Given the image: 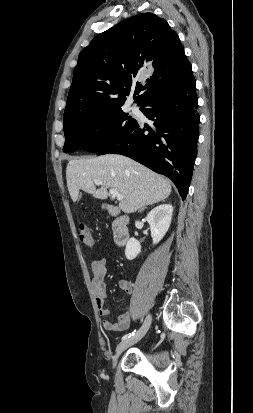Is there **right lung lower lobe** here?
Wrapping results in <instances>:
<instances>
[{
    "mask_svg": "<svg viewBox=\"0 0 253 413\" xmlns=\"http://www.w3.org/2000/svg\"><path fill=\"white\" fill-rule=\"evenodd\" d=\"M153 127L138 122L118 140L97 152L132 158L170 178L183 200L193 173L199 138V114L193 73L176 87L153 95L141 104Z\"/></svg>",
    "mask_w": 253,
    "mask_h": 413,
    "instance_id": "1",
    "label": "right lung lower lobe"
}]
</instances>
